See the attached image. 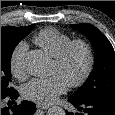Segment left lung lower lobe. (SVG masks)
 I'll use <instances>...</instances> for the list:
<instances>
[{
    "instance_id": "left-lung-lower-lobe-1",
    "label": "left lung lower lobe",
    "mask_w": 115,
    "mask_h": 115,
    "mask_svg": "<svg viewBox=\"0 0 115 115\" xmlns=\"http://www.w3.org/2000/svg\"><path fill=\"white\" fill-rule=\"evenodd\" d=\"M68 101L78 110L85 112V114L76 113V115H115V101L95 100L78 103L71 98H68ZM67 115L74 114L67 112Z\"/></svg>"
}]
</instances>
